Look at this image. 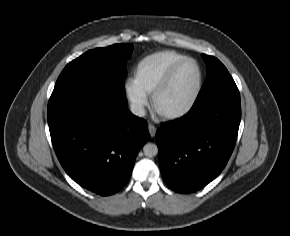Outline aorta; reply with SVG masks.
<instances>
[{
  "instance_id": "1",
  "label": "aorta",
  "mask_w": 290,
  "mask_h": 236,
  "mask_svg": "<svg viewBox=\"0 0 290 236\" xmlns=\"http://www.w3.org/2000/svg\"><path fill=\"white\" fill-rule=\"evenodd\" d=\"M144 154L147 157H154L158 154V147L153 143H146L143 147Z\"/></svg>"
}]
</instances>
